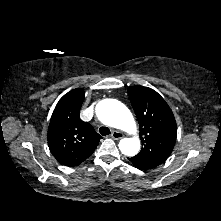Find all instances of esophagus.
<instances>
[{
    "instance_id": "1",
    "label": "esophagus",
    "mask_w": 221,
    "mask_h": 221,
    "mask_svg": "<svg viewBox=\"0 0 221 221\" xmlns=\"http://www.w3.org/2000/svg\"><path fill=\"white\" fill-rule=\"evenodd\" d=\"M111 137L115 140L121 139L123 137V133L117 130H113L111 133Z\"/></svg>"
}]
</instances>
